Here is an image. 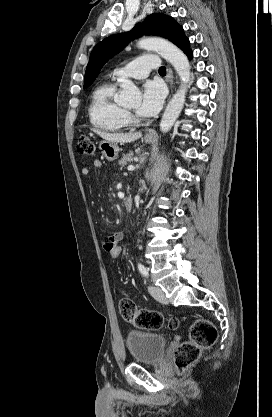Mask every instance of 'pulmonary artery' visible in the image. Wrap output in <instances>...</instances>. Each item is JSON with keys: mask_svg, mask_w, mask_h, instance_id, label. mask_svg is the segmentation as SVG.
Segmentation results:
<instances>
[{"mask_svg": "<svg viewBox=\"0 0 272 417\" xmlns=\"http://www.w3.org/2000/svg\"><path fill=\"white\" fill-rule=\"evenodd\" d=\"M160 67L159 58L156 55H142L129 62L121 68L113 71V78L120 80L124 78L143 79L148 76L153 69Z\"/></svg>", "mask_w": 272, "mask_h": 417, "instance_id": "obj_1", "label": "pulmonary artery"}]
</instances>
